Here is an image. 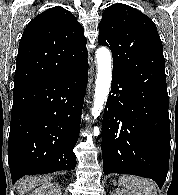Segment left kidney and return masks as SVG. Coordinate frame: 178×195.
Listing matches in <instances>:
<instances>
[{
    "label": "left kidney",
    "instance_id": "left-kidney-1",
    "mask_svg": "<svg viewBox=\"0 0 178 195\" xmlns=\"http://www.w3.org/2000/svg\"><path fill=\"white\" fill-rule=\"evenodd\" d=\"M110 195H132L130 194L128 191L126 190H123V189H115L111 192Z\"/></svg>",
    "mask_w": 178,
    "mask_h": 195
}]
</instances>
